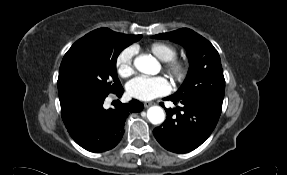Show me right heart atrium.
<instances>
[{
	"label": "right heart atrium",
	"instance_id": "right-heart-atrium-1",
	"mask_svg": "<svg viewBox=\"0 0 287 175\" xmlns=\"http://www.w3.org/2000/svg\"><path fill=\"white\" fill-rule=\"evenodd\" d=\"M135 48L132 46L122 49L115 59L117 74L121 78H128L134 73Z\"/></svg>",
	"mask_w": 287,
	"mask_h": 175
}]
</instances>
